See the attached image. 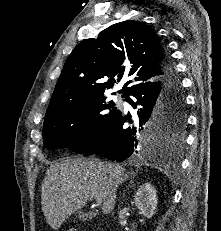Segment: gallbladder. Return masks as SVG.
I'll return each instance as SVG.
<instances>
[{
	"mask_svg": "<svg viewBox=\"0 0 221 231\" xmlns=\"http://www.w3.org/2000/svg\"><path fill=\"white\" fill-rule=\"evenodd\" d=\"M92 215V213L78 212L77 217L82 221H86L92 219Z\"/></svg>",
	"mask_w": 221,
	"mask_h": 231,
	"instance_id": "gallbladder-1",
	"label": "gallbladder"
}]
</instances>
